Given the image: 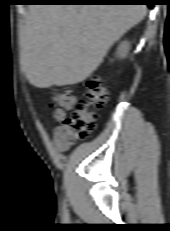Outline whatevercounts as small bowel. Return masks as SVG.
<instances>
[{
	"instance_id": "obj_1",
	"label": "small bowel",
	"mask_w": 170,
	"mask_h": 231,
	"mask_svg": "<svg viewBox=\"0 0 170 231\" xmlns=\"http://www.w3.org/2000/svg\"><path fill=\"white\" fill-rule=\"evenodd\" d=\"M53 145L59 152L68 150L70 144L65 140L61 126H57L53 130Z\"/></svg>"
}]
</instances>
